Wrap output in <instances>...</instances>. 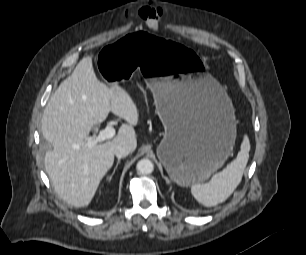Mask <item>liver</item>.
I'll list each match as a JSON object with an SVG mask.
<instances>
[{
  "instance_id": "liver-1",
  "label": "liver",
  "mask_w": 306,
  "mask_h": 255,
  "mask_svg": "<svg viewBox=\"0 0 306 255\" xmlns=\"http://www.w3.org/2000/svg\"><path fill=\"white\" fill-rule=\"evenodd\" d=\"M110 111L128 124H122L112 140L88 147L92 127L105 121ZM138 121L129 93L118 83L108 87L100 82L92 57H84L51 96L42 116V134L52 146L44 164L58 196L75 207L88 206L113 166L115 147L127 143L136 149Z\"/></svg>"
}]
</instances>
